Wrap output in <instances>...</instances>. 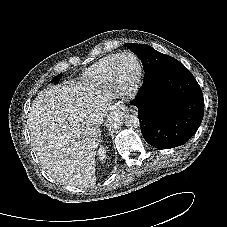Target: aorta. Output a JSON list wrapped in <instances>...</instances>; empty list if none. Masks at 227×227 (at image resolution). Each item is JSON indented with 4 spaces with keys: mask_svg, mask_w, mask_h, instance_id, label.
Returning <instances> with one entry per match:
<instances>
[{
    "mask_svg": "<svg viewBox=\"0 0 227 227\" xmlns=\"http://www.w3.org/2000/svg\"><path fill=\"white\" fill-rule=\"evenodd\" d=\"M108 124L112 128H118L122 124H124L127 128L136 129L139 127V119L135 114L123 116L120 111H112L108 117Z\"/></svg>",
    "mask_w": 227,
    "mask_h": 227,
    "instance_id": "762f6f07",
    "label": "aorta"
}]
</instances>
